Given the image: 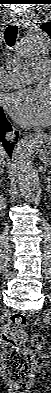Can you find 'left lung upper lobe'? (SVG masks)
<instances>
[{"label":"left lung upper lobe","mask_w":51,"mask_h":393,"mask_svg":"<svg viewBox=\"0 0 51 393\" xmlns=\"http://www.w3.org/2000/svg\"><path fill=\"white\" fill-rule=\"evenodd\" d=\"M40 28H41L43 31L47 32V33L50 35V37H51V21H50V22L43 23V24L40 26Z\"/></svg>","instance_id":"5c2ea615"}]
</instances>
